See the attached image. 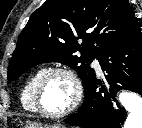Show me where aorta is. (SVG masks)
I'll list each match as a JSON object with an SVG mask.
<instances>
[{"mask_svg":"<svg viewBox=\"0 0 142 128\" xmlns=\"http://www.w3.org/2000/svg\"><path fill=\"white\" fill-rule=\"evenodd\" d=\"M119 102L128 112L124 128H142V97L133 92H122Z\"/></svg>","mask_w":142,"mask_h":128,"instance_id":"obj_1","label":"aorta"}]
</instances>
